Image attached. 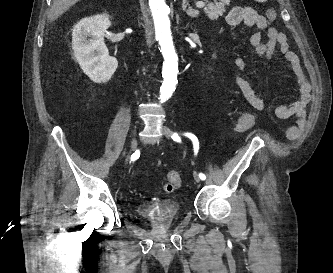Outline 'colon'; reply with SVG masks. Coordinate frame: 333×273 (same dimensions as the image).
Returning <instances> with one entry per match:
<instances>
[{
    "mask_svg": "<svg viewBox=\"0 0 333 273\" xmlns=\"http://www.w3.org/2000/svg\"><path fill=\"white\" fill-rule=\"evenodd\" d=\"M276 11L274 9H268L266 11V17L269 21H274L276 19ZM256 116L250 112H243L237 122L236 131L237 132H245L249 130L255 123ZM181 185V177L180 174L176 171H170L167 174V181L163 186V189L170 193L175 191Z\"/></svg>",
    "mask_w": 333,
    "mask_h": 273,
    "instance_id": "1",
    "label": "colon"
}]
</instances>
